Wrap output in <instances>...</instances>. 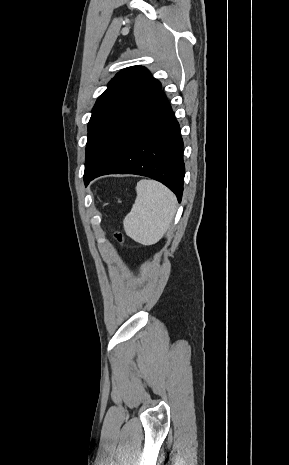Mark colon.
Masks as SVG:
<instances>
[{"mask_svg": "<svg viewBox=\"0 0 289 465\" xmlns=\"http://www.w3.org/2000/svg\"><path fill=\"white\" fill-rule=\"evenodd\" d=\"M115 239L117 240V242H119L121 245H123L124 241H125V236L122 232H116L115 233Z\"/></svg>", "mask_w": 289, "mask_h": 465, "instance_id": "1", "label": "colon"}]
</instances>
